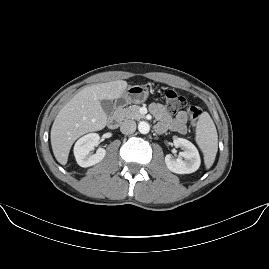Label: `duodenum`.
<instances>
[{"mask_svg": "<svg viewBox=\"0 0 269 269\" xmlns=\"http://www.w3.org/2000/svg\"><path fill=\"white\" fill-rule=\"evenodd\" d=\"M118 123H119V117H118V115H113L108 120V126L111 129L116 128L117 125H118Z\"/></svg>", "mask_w": 269, "mask_h": 269, "instance_id": "1", "label": "duodenum"}]
</instances>
